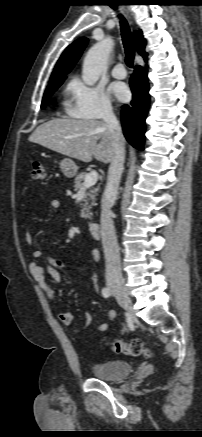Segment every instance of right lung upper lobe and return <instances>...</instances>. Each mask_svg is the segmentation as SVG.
I'll use <instances>...</instances> for the list:
<instances>
[{
	"instance_id": "cb5924a9",
	"label": "right lung upper lobe",
	"mask_w": 202,
	"mask_h": 437,
	"mask_svg": "<svg viewBox=\"0 0 202 437\" xmlns=\"http://www.w3.org/2000/svg\"><path fill=\"white\" fill-rule=\"evenodd\" d=\"M135 48L137 52L145 59L147 53L145 52L146 40L142 35V31H134ZM87 38H80L74 41L61 55L58 60L55 69L50 78V84L65 79V75L68 74L75 63L78 61L85 46L87 45Z\"/></svg>"
}]
</instances>
